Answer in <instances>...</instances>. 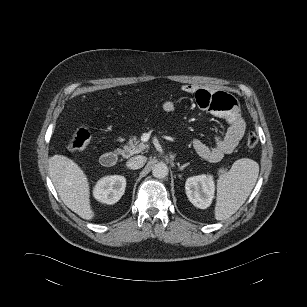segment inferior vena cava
<instances>
[{
    "label": "inferior vena cava",
    "mask_w": 307,
    "mask_h": 307,
    "mask_svg": "<svg viewBox=\"0 0 307 307\" xmlns=\"http://www.w3.org/2000/svg\"><path fill=\"white\" fill-rule=\"evenodd\" d=\"M146 160L147 159L145 156L138 155V156L131 157L127 161L126 165L129 169L136 170V169L142 168L145 165Z\"/></svg>",
    "instance_id": "1"
}]
</instances>
